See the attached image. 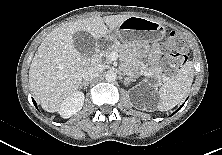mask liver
Returning a JSON list of instances; mask_svg holds the SVG:
<instances>
[{
    "label": "liver",
    "instance_id": "liver-1",
    "mask_svg": "<svg viewBox=\"0 0 222 155\" xmlns=\"http://www.w3.org/2000/svg\"><path fill=\"white\" fill-rule=\"evenodd\" d=\"M129 17L110 15L68 22L44 38L32 60L29 83L45 111H59L61 105L80 87L84 68L93 64L90 58L83 57L74 47V33L84 31L97 40L109 35Z\"/></svg>",
    "mask_w": 222,
    "mask_h": 155
}]
</instances>
